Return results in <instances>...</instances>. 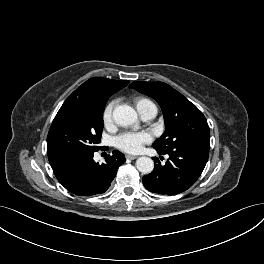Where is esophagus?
<instances>
[{
    "label": "esophagus",
    "instance_id": "obj_1",
    "mask_svg": "<svg viewBox=\"0 0 264 264\" xmlns=\"http://www.w3.org/2000/svg\"><path fill=\"white\" fill-rule=\"evenodd\" d=\"M125 157H126V159H129V160H134V159L138 158L137 155H130V154L125 155Z\"/></svg>",
    "mask_w": 264,
    "mask_h": 264
}]
</instances>
